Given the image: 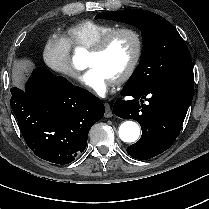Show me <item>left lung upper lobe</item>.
<instances>
[{
    "mask_svg": "<svg viewBox=\"0 0 209 209\" xmlns=\"http://www.w3.org/2000/svg\"><path fill=\"white\" fill-rule=\"evenodd\" d=\"M95 18L124 22L141 30V59L126 85L144 86L193 72L184 40L163 17L141 9H125L103 12Z\"/></svg>",
    "mask_w": 209,
    "mask_h": 209,
    "instance_id": "1",
    "label": "left lung upper lobe"
}]
</instances>
